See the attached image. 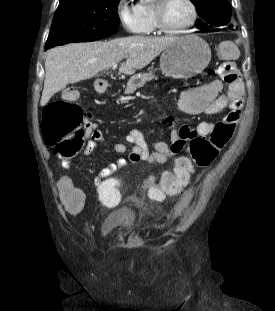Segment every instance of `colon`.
Returning <instances> with one entry per match:
<instances>
[{
    "instance_id": "1",
    "label": "colon",
    "mask_w": 275,
    "mask_h": 311,
    "mask_svg": "<svg viewBox=\"0 0 275 311\" xmlns=\"http://www.w3.org/2000/svg\"><path fill=\"white\" fill-rule=\"evenodd\" d=\"M219 49V48H218ZM217 49L218 53L219 50ZM234 64L223 61L219 65V74L225 82L235 78ZM79 92H70V98L54 101L45 106L42 119V133L46 144L53 148L55 155L61 159H71L86 148V115L76 103ZM236 119L219 118V123L212 130L210 137L192 136L186 147V154L176 160L173 172L165 171L158 185L147 184L149 197L154 201H163L178 194L189 181L195 168L211 166L231 140ZM97 183L100 202L117 203L118 178H103Z\"/></svg>"
}]
</instances>
